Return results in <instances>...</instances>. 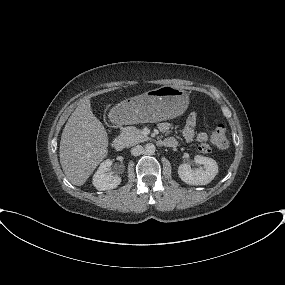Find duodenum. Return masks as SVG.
<instances>
[{
	"label": "duodenum",
	"mask_w": 285,
	"mask_h": 285,
	"mask_svg": "<svg viewBox=\"0 0 285 285\" xmlns=\"http://www.w3.org/2000/svg\"><path fill=\"white\" fill-rule=\"evenodd\" d=\"M113 146L116 151H121L124 147V140L120 137H117L113 142Z\"/></svg>",
	"instance_id": "duodenum-1"
}]
</instances>
